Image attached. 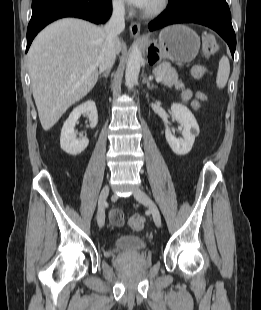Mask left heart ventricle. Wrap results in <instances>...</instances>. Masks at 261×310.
Segmentation results:
<instances>
[{
  "instance_id": "left-heart-ventricle-1",
  "label": "left heart ventricle",
  "mask_w": 261,
  "mask_h": 310,
  "mask_svg": "<svg viewBox=\"0 0 261 310\" xmlns=\"http://www.w3.org/2000/svg\"><path fill=\"white\" fill-rule=\"evenodd\" d=\"M155 1H156V0H151L150 3H149V5H148L146 8L151 7V6L154 4Z\"/></svg>"
}]
</instances>
